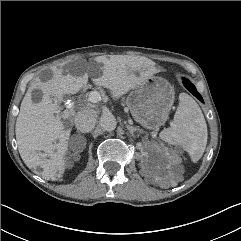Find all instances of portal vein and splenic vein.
I'll return each mask as SVG.
<instances>
[{"instance_id": "1", "label": "portal vein and splenic vein", "mask_w": 241, "mask_h": 241, "mask_svg": "<svg viewBox=\"0 0 241 241\" xmlns=\"http://www.w3.org/2000/svg\"><path fill=\"white\" fill-rule=\"evenodd\" d=\"M87 100L92 103H97L101 100V96H100L99 92L92 91L89 93Z\"/></svg>"}]
</instances>
